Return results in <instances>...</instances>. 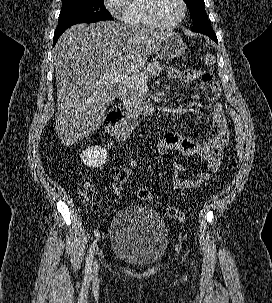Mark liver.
Listing matches in <instances>:
<instances>
[{"instance_id":"6515ba94","label":"liver","mask_w":272,"mask_h":303,"mask_svg":"<svg viewBox=\"0 0 272 303\" xmlns=\"http://www.w3.org/2000/svg\"><path fill=\"white\" fill-rule=\"evenodd\" d=\"M168 34L101 21L74 25L61 35L53 54L57 85L55 129L63 145L75 144L100 127L118 89L117 83L100 80L144 69L149 55Z\"/></svg>"}]
</instances>
